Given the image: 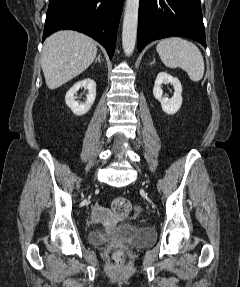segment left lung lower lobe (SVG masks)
I'll list each match as a JSON object with an SVG mask.
<instances>
[{
    "label": "left lung lower lobe",
    "instance_id": "obj_1",
    "mask_svg": "<svg viewBox=\"0 0 240 287\" xmlns=\"http://www.w3.org/2000/svg\"><path fill=\"white\" fill-rule=\"evenodd\" d=\"M170 36L188 37L206 47L200 0H140L138 50Z\"/></svg>",
    "mask_w": 240,
    "mask_h": 287
}]
</instances>
